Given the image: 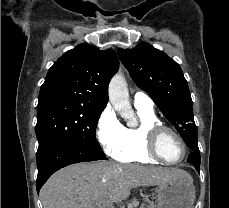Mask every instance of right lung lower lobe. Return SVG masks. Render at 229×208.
I'll return each instance as SVG.
<instances>
[{
	"mask_svg": "<svg viewBox=\"0 0 229 208\" xmlns=\"http://www.w3.org/2000/svg\"><path fill=\"white\" fill-rule=\"evenodd\" d=\"M107 160L102 150H96L76 141H61L37 154V192L57 170L70 164Z\"/></svg>",
	"mask_w": 229,
	"mask_h": 208,
	"instance_id": "1",
	"label": "right lung lower lobe"
}]
</instances>
